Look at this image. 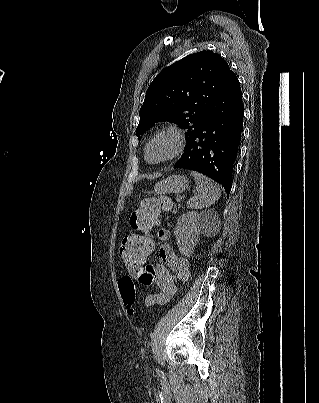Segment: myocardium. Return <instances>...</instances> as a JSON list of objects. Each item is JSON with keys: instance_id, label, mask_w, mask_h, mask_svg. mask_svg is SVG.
I'll use <instances>...</instances> for the list:
<instances>
[{"instance_id": "myocardium-1", "label": "myocardium", "mask_w": 319, "mask_h": 403, "mask_svg": "<svg viewBox=\"0 0 319 403\" xmlns=\"http://www.w3.org/2000/svg\"><path fill=\"white\" fill-rule=\"evenodd\" d=\"M164 136H169L173 139V148L169 154H167L165 157L156 160V161H151L148 158V153H149V148L150 146L159 138L164 137ZM186 147V138L183 133V131L176 127V126H166L158 131H156L152 137L148 140L145 146V158L148 162L155 163V164H160L164 162L171 161L179 156H181L185 150Z\"/></svg>"}]
</instances>
